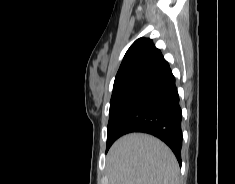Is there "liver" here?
I'll return each instance as SVG.
<instances>
[{
	"mask_svg": "<svg viewBox=\"0 0 235 184\" xmlns=\"http://www.w3.org/2000/svg\"><path fill=\"white\" fill-rule=\"evenodd\" d=\"M109 184H180L170 148L149 134H127L107 154Z\"/></svg>",
	"mask_w": 235,
	"mask_h": 184,
	"instance_id": "liver-1",
	"label": "liver"
}]
</instances>
